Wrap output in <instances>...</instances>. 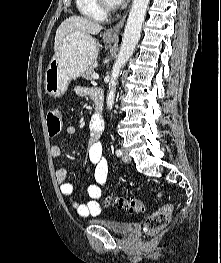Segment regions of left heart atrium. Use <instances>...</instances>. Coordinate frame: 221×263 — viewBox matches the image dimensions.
<instances>
[{
  "label": "left heart atrium",
  "mask_w": 221,
  "mask_h": 263,
  "mask_svg": "<svg viewBox=\"0 0 221 263\" xmlns=\"http://www.w3.org/2000/svg\"><path fill=\"white\" fill-rule=\"evenodd\" d=\"M113 1V3H115V4H120V3H122L124 0H112Z\"/></svg>",
  "instance_id": "1"
}]
</instances>
